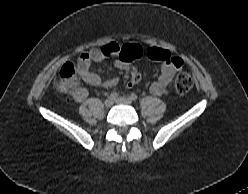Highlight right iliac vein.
<instances>
[{
    "instance_id": "63e3f726",
    "label": "right iliac vein",
    "mask_w": 248,
    "mask_h": 194,
    "mask_svg": "<svg viewBox=\"0 0 248 194\" xmlns=\"http://www.w3.org/2000/svg\"><path fill=\"white\" fill-rule=\"evenodd\" d=\"M113 100L111 98H107L105 101H104V105L106 108H110L113 106Z\"/></svg>"
}]
</instances>
